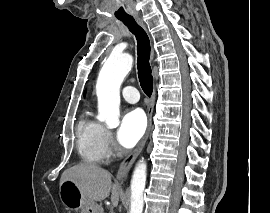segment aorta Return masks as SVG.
Masks as SVG:
<instances>
[{"label":"aorta","mask_w":270,"mask_h":213,"mask_svg":"<svg viewBox=\"0 0 270 213\" xmlns=\"http://www.w3.org/2000/svg\"><path fill=\"white\" fill-rule=\"evenodd\" d=\"M132 64L133 58L130 54L112 53L99 73L96 84L98 119L104 121L108 126L119 124L120 86L131 70ZM146 170V163L140 161L133 172L130 213H142L143 211Z\"/></svg>","instance_id":"1"}]
</instances>
